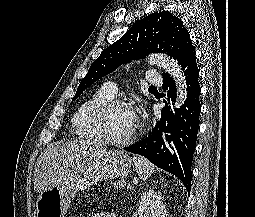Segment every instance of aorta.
<instances>
[{"mask_svg":"<svg viewBox=\"0 0 255 217\" xmlns=\"http://www.w3.org/2000/svg\"><path fill=\"white\" fill-rule=\"evenodd\" d=\"M149 62L163 68L169 75H171V77H173L177 88L176 104L177 106L182 105L187 97V86L184 73L178 63L164 54L151 55L149 57Z\"/></svg>","mask_w":255,"mask_h":217,"instance_id":"762f6f07","label":"aorta"}]
</instances>
